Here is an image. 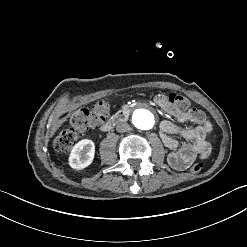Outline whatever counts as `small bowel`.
Wrapping results in <instances>:
<instances>
[{
    "label": "small bowel",
    "instance_id": "small-bowel-1",
    "mask_svg": "<svg viewBox=\"0 0 247 247\" xmlns=\"http://www.w3.org/2000/svg\"><path fill=\"white\" fill-rule=\"evenodd\" d=\"M156 102L177 121L174 123L165 120L159 126L160 137L166 148L170 150L167 157L169 165L178 171H183L197 158H207L211 152V146L206 141V136L212 126L206 120L204 112L196 108L178 109L162 95L156 98ZM184 123H194L196 126L185 127L182 125ZM172 135L180 136L184 142L179 143Z\"/></svg>",
    "mask_w": 247,
    "mask_h": 247
}]
</instances>
